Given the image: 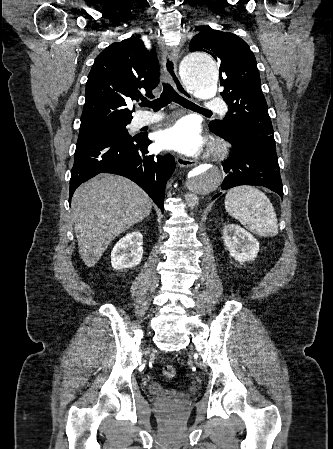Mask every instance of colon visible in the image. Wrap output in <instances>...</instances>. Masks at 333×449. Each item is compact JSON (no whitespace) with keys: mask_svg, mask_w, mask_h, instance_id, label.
<instances>
[{"mask_svg":"<svg viewBox=\"0 0 333 449\" xmlns=\"http://www.w3.org/2000/svg\"><path fill=\"white\" fill-rule=\"evenodd\" d=\"M163 374L167 378H173L176 376V368L172 365H166L163 368Z\"/></svg>","mask_w":333,"mask_h":449,"instance_id":"obj_1","label":"colon"}]
</instances>
